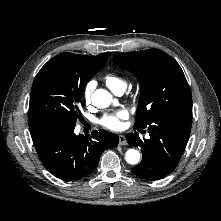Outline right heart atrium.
Listing matches in <instances>:
<instances>
[{"mask_svg": "<svg viewBox=\"0 0 221 221\" xmlns=\"http://www.w3.org/2000/svg\"><path fill=\"white\" fill-rule=\"evenodd\" d=\"M95 88V82L94 81H89L85 88H84V92H83V96H84V100L86 103H89L90 100H91V95H92V92Z\"/></svg>", "mask_w": 221, "mask_h": 221, "instance_id": "d8ad5b80", "label": "right heart atrium"}]
</instances>
